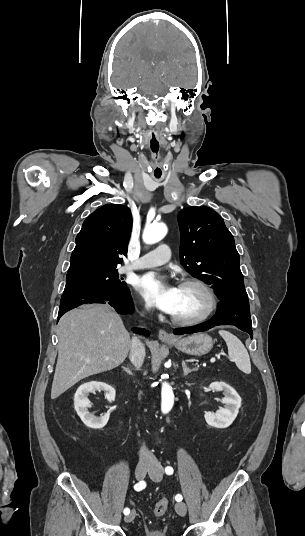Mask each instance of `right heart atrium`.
Returning <instances> with one entry per match:
<instances>
[{
	"label": "right heart atrium",
	"instance_id": "d8ad5b80",
	"mask_svg": "<svg viewBox=\"0 0 305 536\" xmlns=\"http://www.w3.org/2000/svg\"><path fill=\"white\" fill-rule=\"evenodd\" d=\"M151 311V305L150 304H145L142 308V313H148Z\"/></svg>",
	"mask_w": 305,
	"mask_h": 536
}]
</instances>
